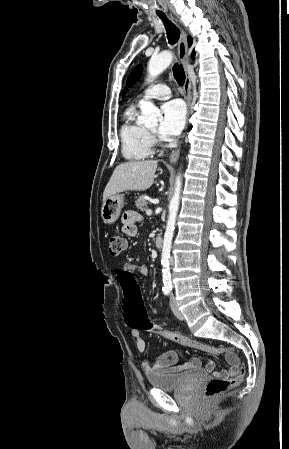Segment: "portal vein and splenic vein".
Returning a JSON list of instances; mask_svg holds the SVG:
<instances>
[{
    "mask_svg": "<svg viewBox=\"0 0 289 449\" xmlns=\"http://www.w3.org/2000/svg\"><path fill=\"white\" fill-rule=\"evenodd\" d=\"M146 214H147V215H151V214H152V210H151V209H147V210H146Z\"/></svg>",
    "mask_w": 289,
    "mask_h": 449,
    "instance_id": "obj_1",
    "label": "portal vein and splenic vein"
}]
</instances>
